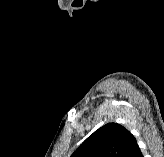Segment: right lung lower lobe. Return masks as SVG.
<instances>
[{
  "instance_id": "1",
  "label": "right lung lower lobe",
  "mask_w": 164,
  "mask_h": 157,
  "mask_svg": "<svg viewBox=\"0 0 164 157\" xmlns=\"http://www.w3.org/2000/svg\"><path fill=\"white\" fill-rule=\"evenodd\" d=\"M127 157H143L139 146L136 144Z\"/></svg>"
}]
</instances>
